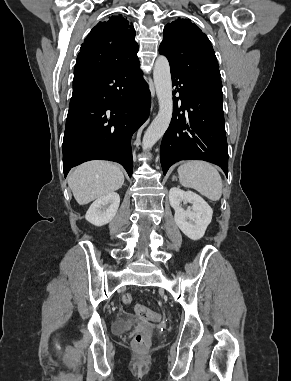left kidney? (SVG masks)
I'll return each instance as SVG.
<instances>
[{
    "label": "left kidney",
    "mask_w": 291,
    "mask_h": 381,
    "mask_svg": "<svg viewBox=\"0 0 291 381\" xmlns=\"http://www.w3.org/2000/svg\"><path fill=\"white\" fill-rule=\"evenodd\" d=\"M169 201L175 211L174 219L179 229L192 240L201 239L213 214L207 202L192 191H183L176 187L170 189ZM182 202L191 203L192 207L184 210Z\"/></svg>",
    "instance_id": "1"
}]
</instances>
